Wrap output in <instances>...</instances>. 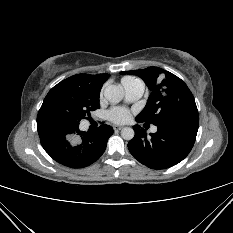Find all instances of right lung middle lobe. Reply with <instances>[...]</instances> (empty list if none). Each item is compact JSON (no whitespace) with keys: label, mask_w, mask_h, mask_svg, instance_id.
I'll return each mask as SVG.
<instances>
[{"label":"right lung middle lobe","mask_w":233,"mask_h":233,"mask_svg":"<svg viewBox=\"0 0 233 233\" xmlns=\"http://www.w3.org/2000/svg\"><path fill=\"white\" fill-rule=\"evenodd\" d=\"M99 94L100 89L69 77L48 92L38 112L37 124L79 125L90 111L100 108Z\"/></svg>","instance_id":"right-lung-middle-lobe-1"}]
</instances>
